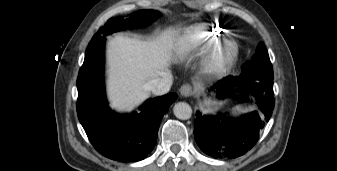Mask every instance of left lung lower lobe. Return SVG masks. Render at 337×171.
Instances as JSON below:
<instances>
[{
	"instance_id": "obj_1",
	"label": "left lung lower lobe",
	"mask_w": 337,
	"mask_h": 171,
	"mask_svg": "<svg viewBox=\"0 0 337 171\" xmlns=\"http://www.w3.org/2000/svg\"><path fill=\"white\" fill-rule=\"evenodd\" d=\"M273 75L242 72L238 77L228 76L212 88L219 99L237 95L246 100L251 93L259 110L233 119L225 114L201 115L197 111L194 125L195 140L200 149L214 158H237L249 151L259 139V133L269 121L274 108Z\"/></svg>"
}]
</instances>
